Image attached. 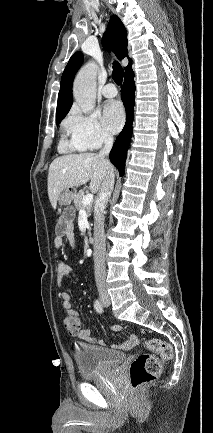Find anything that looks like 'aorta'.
Segmentation results:
<instances>
[{
  "label": "aorta",
  "mask_w": 213,
  "mask_h": 433,
  "mask_svg": "<svg viewBox=\"0 0 213 433\" xmlns=\"http://www.w3.org/2000/svg\"><path fill=\"white\" fill-rule=\"evenodd\" d=\"M97 65L91 61L76 75L73 84L75 101L84 113H89L96 103V75Z\"/></svg>",
  "instance_id": "obj_1"
}]
</instances>
